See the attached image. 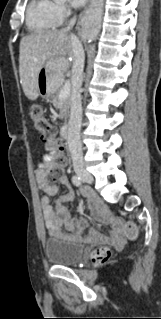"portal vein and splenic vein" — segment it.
<instances>
[{
	"label": "portal vein and splenic vein",
	"instance_id": "portal-vein-and-splenic-vein-1",
	"mask_svg": "<svg viewBox=\"0 0 161 319\" xmlns=\"http://www.w3.org/2000/svg\"><path fill=\"white\" fill-rule=\"evenodd\" d=\"M70 89H71V84L70 82H66L65 85L62 87L59 93V98L60 99H65L69 96L70 94Z\"/></svg>",
	"mask_w": 161,
	"mask_h": 319
}]
</instances>
